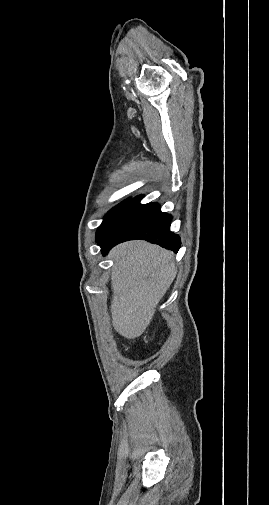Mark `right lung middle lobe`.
Returning <instances> with one entry per match:
<instances>
[{"mask_svg":"<svg viewBox=\"0 0 269 505\" xmlns=\"http://www.w3.org/2000/svg\"><path fill=\"white\" fill-rule=\"evenodd\" d=\"M131 200L132 199L129 198V199L123 201L122 203L118 204L116 207H114L113 209H111L107 213L102 224L100 225V227L97 230V233H96L97 242H99L102 239V237L104 236V234L108 230L111 223L114 221V219L117 217V215L129 204V202Z\"/></svg>","mask_w":269,"mask_h":505,"instance_id":"dd1d6c3e","label":"right lung middle lobe"}]
</instances>
